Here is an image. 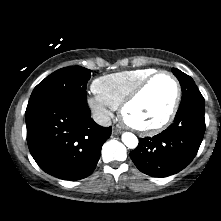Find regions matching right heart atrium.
Returning a JSON list of instances; mask_svg holds the SVG:
<instances>
[{"instance_id": "d8ad5b80", "label": "right heart atrium", "mask_w": 221, "mask_h": 221, "mask_svg": "<svg viewBox=\"0 0 221 221\" xmlns=\"http://www.w3.org/2000/svg\"><path fill=\"white\" fill-rule=\"evenodd\" d=\"M88 105L94 113H96L102 120L106 121L111 117L110 106L103 102L97 96L88 98Z\"/></svg>"}]
</instances>
